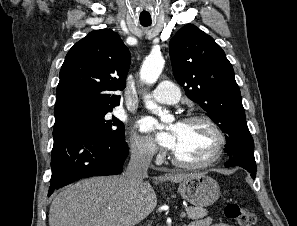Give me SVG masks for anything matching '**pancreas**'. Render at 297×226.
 <instances>
[{"label": "pancreas", "mask_w": 297, "mask_h": 226, "mask_svg": "<svg viewBox=\"0 0 297 226\" xmlns=\"http://www.w3.org/2000/svg\"><path fill=\"white\" fill-rule=\"evenodd\" d=\"M187 217L190 220H197L207 216L208 212L202 207H187Z\"/></svg>", "instance_id": "1"}]
</instances>
